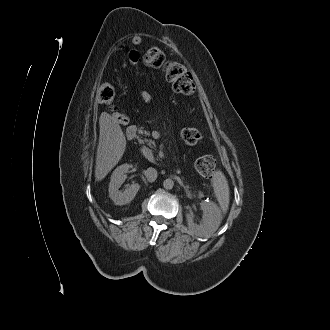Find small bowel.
<instances>
[{
    "instance_id": "obj_1",
    "label": "small bowel",
    "mask_w": 330,
    "mask_h": 330,
    "mask_svg": "<svg viewBox=\"0 0 330 330\" xmlns=\"http://www.w3.org/2000/svg\"><path fill=\"white\" fill-rule=\"evenodd\" d=\"M132 42H133V44L138 45V44H140L141 39H140V37L136 36V37L133 38ZM138 58H139L138 53L135 56L130 54L129 61L132 65H136L138 63ZM139 96H140L141 100L144 103H147V104L150 103L152 101V98H153L152 94L147 90H141L140 93H139ZM125 122H127V116L125 118V121L122 122V124L125 123ZM119 123H121V122H119Z\"/></svg>"
}]
</instances>
